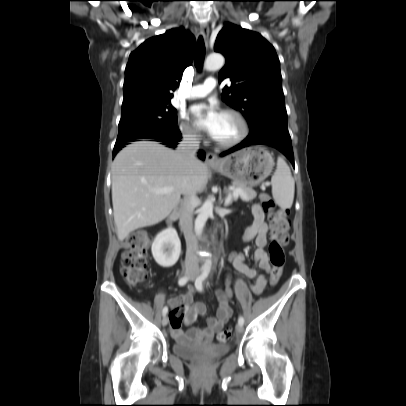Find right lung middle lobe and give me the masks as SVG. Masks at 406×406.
I'll list each match as a JSON object with an SVG mask.
<instances>
[{
	"instance_id": "1",
	"label": "right lung middle lobe",
	"mask_w": 406,
	"mask_h": 406,
	"mask_svg": "<svg viewBox=\"0 0 406 406\" xmlns=\"http://www.w3.org/2000/svg\"><path fill=\"white\" fill-rule=\"evenodd\" d=\"M177 129V111L170 102H141L122 107L117 141L165 135Z\"/></svg>"
}]
</instances>
